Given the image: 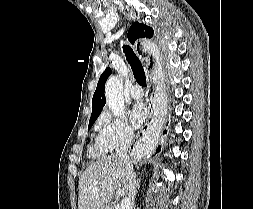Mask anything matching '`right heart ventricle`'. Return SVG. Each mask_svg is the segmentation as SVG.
I'll return each mask as SVG.
<instances>
[{"label":"right heart ventricle","mask_w":253,"mask_h":209,"mask_svg":"<svg viewBox=\"0 0 253 209\" xmlns=\"http://www.w3.org/2000/svg\"><path fill=\"white\" fill-rule=\"evenodd\" d=\"M105 151V149L96 141L95 147L90 148V153L92 155H100Z\"/></svg>","instance_id":"e07e8e85"}]
</instances>
